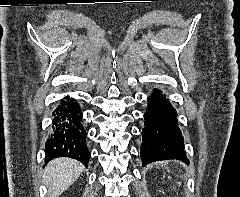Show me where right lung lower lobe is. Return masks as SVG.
<instances>
[{
    "label": "right lung lower lobe",
    "instance_id": "98d812e1",
    "mask_svg": "<svg viewBox=\"0 0 240 197\" xmlns=\"http://www.w3.org/2000/svg\"><path fill=\"white\" fill-rule=\"evenodd\" d=\"M52 130L45 144L47 161L70 157L87 166L90 152L86 146L87 133L82 125V112L71 98L61 100L53 112Z\"/></svg>",
    "mask_w": 240,
    "mask_h": 197
}]
</instances>
